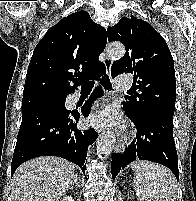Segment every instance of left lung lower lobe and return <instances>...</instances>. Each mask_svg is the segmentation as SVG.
Instances as JSON below:
<instances>
[{
  "label": "left lung lower lobe",
  "mask_w": 196,
  "mask_h": 201,
  "mask_svg": "<svg viewBox=\"0 0 196 201\" xmlns=\"http://www.w3.org/2000/svg\"><path fill=\"white\" fill-rule=\"evenodd\" d=\"M128 115V114H127ZM128 117L137 128L134 142L124 153L114 154L111 163L113 179L134 160H149L168 167L179 178L178 156L173 138V115L150 111L139 118Z\"/></svg>",
  "instance_id": "left-lung-lower-lobe-1"
}]
</instances>
